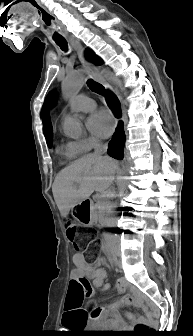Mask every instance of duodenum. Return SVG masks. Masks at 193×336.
<instances>
[{
  "instance_id": "410a0bca",
  "label": "duodenum",
  "mask_w": 193,
  "mask_h": 336,
  "mask_svg": "<svg viewBox=\"0 0 193 336\" xmlns=\"http://www.w3.org/2000/svg\"><path fill=\"white\" fill-rule=\"evenodd\" d=\"M111 253H112L113 260H114L115 262H117V260H118V258H119V255H118V253H117V250H116L115 248L112 247V249H111Z\"/></svg>"
}]
</instances>
